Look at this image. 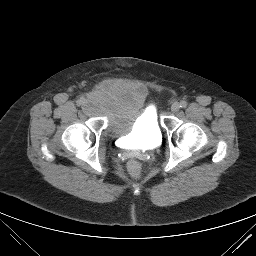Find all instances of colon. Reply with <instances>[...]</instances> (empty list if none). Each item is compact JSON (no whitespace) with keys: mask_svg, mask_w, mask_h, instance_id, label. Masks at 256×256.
<instances>
[{"mask_svg":"<svg viewBox=\"0 0 256 256\" xmlns=\"http://www.w3.org/2000/svg\"><path fill=\"white\" fill-rule=\"evenodd\" d=\"M129 174L133 178H139L141 176V165L136 160H130L127 165Z\"/></svg>","mask_w":256,"mask_h":256,"instance_id":"colon-1","label":"colon"}]
</instances>
